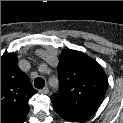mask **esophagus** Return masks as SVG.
I'll return each instance as SVG.
<instances>
[{
    "label": "esophagus",
    "mask_w": 123,
    "mask_h": 123,
    "mask_svg": "<svg viewBox=\"0 0 123 123\" xmlns=\"http://www.w3.org/2000/svg\"><path fill=\"white\" fill-rule=\"evenodd\" d=\"M40 93L48 94L49 93V88L48 87H44L42 90H40Z\"/></svg>",
    "instance_id": "esophagus-1"
}]
</instances>
